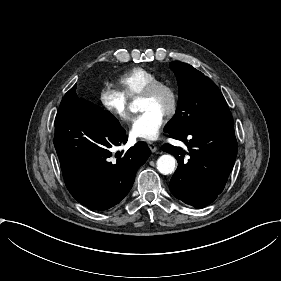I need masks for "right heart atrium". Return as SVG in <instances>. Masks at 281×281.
Returning <instances> with one entry per match:
<instances>
[{"label": "right heart atrium", "mask_w": 281, "mask_h": 281, "mask_svg": "<svg viewBox=\"0 0 281 281\" xmlns=\"http://www.w3.org/2000/svg\"><path fill=\"white\" fill-rule=\"evenodd\" d=\"M99 99L104 110L111 117L122 122L131 121L132 114L127 99L119 90L104 86L100 90Z\"/></svg>", "instance_id": "1"}]
</instances>
